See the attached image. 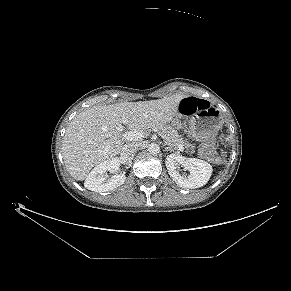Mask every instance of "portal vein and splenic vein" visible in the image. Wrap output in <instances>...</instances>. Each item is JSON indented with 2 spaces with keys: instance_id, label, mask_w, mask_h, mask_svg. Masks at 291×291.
<instances>
[{
  "instance_id": "portal-vein-and-splenic-vein-1",
  "label": "portal vein and splenic vein",
  "mask_w": 291,
  "mask_h": 291,
  "mask_svg": "<svg viewBox=\"0 0 291 291\" xmlns=\"http://www.w3.org/2000/svg\"><path fill=\"white\" fill-rule=\"evenodd\" d=\"M119 131H123V127L122 126H118L117 128ZM144 131L142 130H134V131H129V132H126L124 133L123 137L126 139V140H138V139H141L144 137ZM178 150L180 151H183L184 148L182 145H179L178 146Z\"/></svg>"
}]
</instances>
